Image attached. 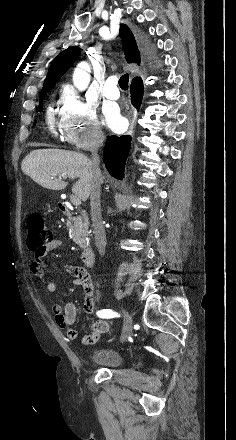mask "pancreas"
<instances>
[{
  "label": "pancreas",
  "instance_id": "cf45deb5",
  "mask_svg": "<svg viewBox=\"0 0 236 440\" xmlns=\"http://www.w3.org/2000/svg\"><path fill=\"white\" fill-rule=\"evenodd\" d=\"M89 221L86 215L72 218L68 223L71 237L82 249L86 247L89 235Z\"/></svg>",
  "mask_w": 236,
  "mask_h": 440
}]
</instances>
